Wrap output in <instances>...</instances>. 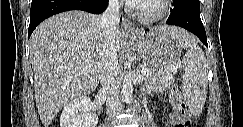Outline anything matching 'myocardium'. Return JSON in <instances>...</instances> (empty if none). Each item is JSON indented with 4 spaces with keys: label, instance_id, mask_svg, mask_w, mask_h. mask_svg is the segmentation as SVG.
<instances>
[{
    "label": "myocardium",
    "instance_id": "myocardium-1",
    "mask_svg": "<svg viewBox=\"0 0 243 127\" xmlns=\"http://www.w3.org/2000/svg\"><path fill=\"white\" fill-rule=\"evenodd\" d=\"M160 8L156 12L147 13L141 10L142 2L133 7L134 15L143 22H155L164 18L170 11V0H158Z\"/></svg>",
    "mask_w": 243,
    "mask_h": 127
}]
</instances>
